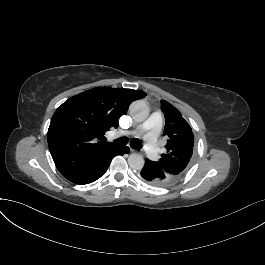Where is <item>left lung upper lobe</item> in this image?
I'll list each match as a JSON object with an SVG mask.
<instances>
[{"label": "left lung upper lobe", "instance_id": "left-lung-upper-lobe-1", "mask_svg": "<svg viewBox=\"0 0 265 265\" xmlns=\"http://www.w3.org/2000/svg\"><path fill=\"white\" fill-rule=\"evenodd\" d=\"M161 109L166 121L163 136L167 138V153L162 154L155 163L176 182L185 174L190 164L194 135L189 124L173 105L161 100Z\"/></svg>", "mask_w": 265, "mask_h": 265}]
</instances>
